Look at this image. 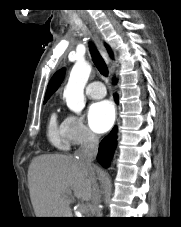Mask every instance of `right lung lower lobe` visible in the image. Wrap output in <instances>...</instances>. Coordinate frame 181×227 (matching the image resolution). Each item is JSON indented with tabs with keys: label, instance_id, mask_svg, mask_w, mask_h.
Returning <instances> with one entry per match:
<instances>
[{
	"label": "right lung lower lobe",
	"instance_id": "obj_1",
	"mask_svg": "<svg viewBox=\"0 0 181 227\" xmlns=\"http://www.w3.org/2000/svg\"><path fill=\"white\" fill-rule=\"evenodd\" d=\"M115 83H116V80L114 79V84ZM116 142H117V128L114 127L112 131L99 144L97 160L105 168L109 165L111 161L113 151L116 147Z\"/></svg>",
	"mask_w": 181,
	"mask_h": 227
}]
</instances>
